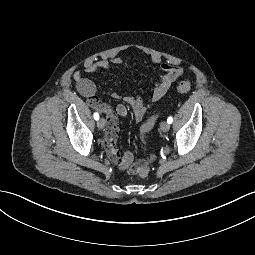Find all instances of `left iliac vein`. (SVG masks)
<instances>
[{"label": "left iliac vein", "instance_id": "1", "mask_svg": "<svg viewBox=\"0 0 255 255\" xmlns=\"http://www.w3.org/2000/svg\"><path fill=\"white\" fill-rule=\"evenodd\" d=\"M160 129L163 131V132H167L169 131L170 129V124L166 121L162 122L161 125H160Z\"/></svg>", "mask_w": 255, "mask_h": 255}]
</instances>
